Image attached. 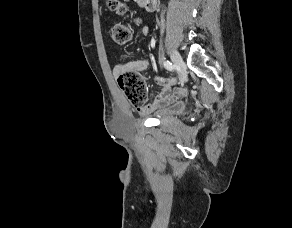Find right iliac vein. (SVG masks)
I'll return each instance as SVG.
<instances>
[{"label": "right iliac vein", "mask_w": 292, "mask_h": 228, "mask_svg": "<svg viewBox=\"0 0 292 228\" xmlns=\"http://www.w3.org/2000/svg\"><path fill=\"white\" fill-rule=\"evenodd\" d=\"M170 56H171V60L175 64V66H177L178 69L181 71L182 79H185L186 78L185 73H184V71H185V63H184L182 57L175 50H171L170 51Z\"/></svg>", "instance_id": "obj_1"}]
</instances>
